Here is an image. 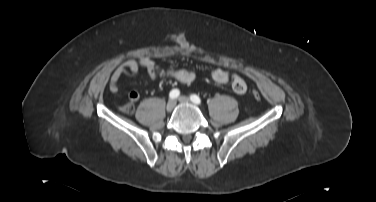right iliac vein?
Listing matches in <instances>:
<instances>
[{"label": "right iliac vein", "mask_w": 376, "mask_h": 202, "mask_svg": "<svg viewBox=\"0 0 376 202\" xmlns=\"http://www.w3.org/2000/svg\"><path fill=\"white\" fill-rule=\"evenodd\" d=\"M175 104H176V103H175L174 100H169L168 103H167V105H166V110H167L168 112H171V111L174 109Z\"/></svg>", "instance_id": "63e3f726"}]
</instances>
